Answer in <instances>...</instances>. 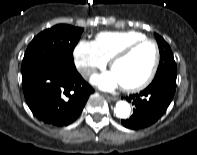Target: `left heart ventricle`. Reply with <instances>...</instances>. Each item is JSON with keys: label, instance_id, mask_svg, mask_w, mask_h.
<instances>
[{"label": "left heart ventricle", "instance_id": "obj_1", "mask_svg": "<svg viewBox=\"0 0 197 155\" xmlns=\"http://www.w3.org/2000/svg\"><path fill=\"white\" fill-rule=\"evenodd\" d=\"M155 58L154 46L150 43L136 48L131 54L117 61L112 71L121 85H135L148 75Z\"/></svg>", "mask_w": 197, "mask_h": 155}]
</instances>
